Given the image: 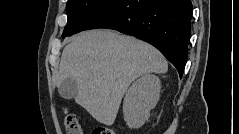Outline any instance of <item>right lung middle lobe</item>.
<instances>
[{
    "label": "right lung middle lobe",
    "mask_w": 239,
    "mask_h": 134,
    "mask_svg": "<svg viewBox=\"0 0 239 134\" xmlns=\"http://www.w3.org/2000/svg\"><path fill=\"white\" fill-rule=\"evenodd\" d=\"M117 0H68V21L62 38L82 31L102 10Z\"/></svg>",
    "instance_id": "dd1d6c3e"
}]
</instances>
